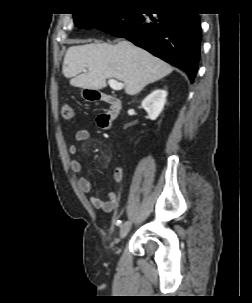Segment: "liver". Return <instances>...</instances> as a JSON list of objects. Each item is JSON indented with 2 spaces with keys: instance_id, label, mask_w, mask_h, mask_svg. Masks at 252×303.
Here are the masks:
<instances>
[{
  "instance_id": "1",
  "label": "liver",
  "mask_w": 252,
  "mask_h": 303,
  "mask_svg": "<svg viewBox=\"0 0 252 303\" xmlns=\"http://www.w3.org/2000/svg\"><path fill=\"white\" fill-rule=\"evenodd\" d=\"M173 68L129 41L115 45L92 43L69 47L62 72L70 85L100 90L106 79L124 82L128 95L138 94L146 85L169 75Z\"/></svg>"
}]
</instances>
